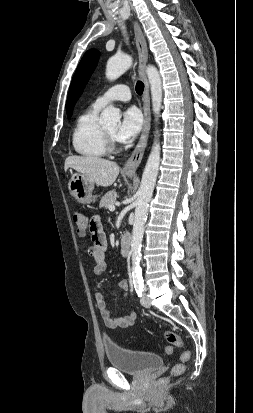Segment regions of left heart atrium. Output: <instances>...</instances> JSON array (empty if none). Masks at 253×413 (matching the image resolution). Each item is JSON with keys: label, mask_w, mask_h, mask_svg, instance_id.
<instances>
[{"label": "left heart atrium", "mask_w": 253, "mask_h": 413, "mask_svg": "<svg viewBox=\"0 0 253 413\" xmlns=\"http://www.w3.org/2000/svg\"><path fill=\"white\" fill-rule=\"evenodd\" d=\"M142 124L143 118L140 111L135 107H130L124 111L114 136L121 143L131 142L140 132Z\"/></svg>", "instance_id": "1"}]
</instances>
